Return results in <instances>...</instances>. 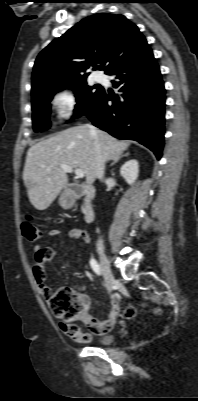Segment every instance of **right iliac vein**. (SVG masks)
I'll list each match as a JSON object with an SVG mask.
<instances>
[{
	"label": "right iliac vein",
	"mask_w": 198,
	"mask_h": 401,
	"mask_svg": "<svg viewBox=\"0 0 198 401\" xmlns=\"http://www.w3.org/2000/svg\"><path fill=\"white\" fill-rule=\"evenodd\" d=\"M98 253H99V257H100L102 273L104 275L105 286H106L107 290L110 292L112 290V286H113L114 275L112 273L109 260L106 256L104 250L100 248L98 250Z\"/></svg>",
	"instance_id": "1"
}]
</instances>
